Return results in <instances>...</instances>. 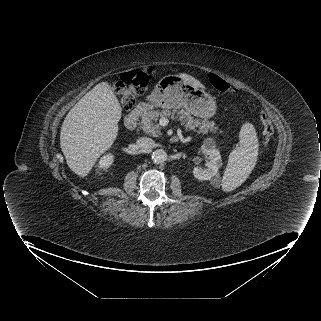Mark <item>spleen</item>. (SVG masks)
I'll use <instances>...</instances> for the list:
<instances>
[{
	"label": "spleen",
	"instance_id": "1",
	"mask_svg": "<svg viewBox=\"0 0 321 321\" xmlns=\"http://www.w3.org/2000/svg\"><path fill=\"white\" fill-rule=\"evenodd\" d=\"M239 145L230 153L222 179V189L230 192L239 187L255 167L258 138L254 126L246 122L239 132Z\"/></svg>",
	"mask_w": 321,
	"mask_h": 321
}]
</instances>
